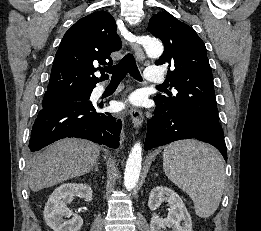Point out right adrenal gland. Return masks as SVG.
<instances>
[{
	"mask_svg": "<svg viewBox=\"0 0 261 231\" xmlns=\"http://www.w3.org/2000/svg\"><path fill=\"white\" fill-rule=\"evenodd\" d=\"M92 170L99 172V163H96Z\"/></svg>",
	"mask_w": 261,
	"mask_h": 231,
	"instance_id": "1",
	"label": "right adrenal gland"
}]
</instances>
